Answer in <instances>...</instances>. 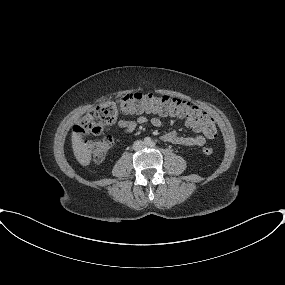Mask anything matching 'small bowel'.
I'll use <instances>...</instances> for the list:
<instances>
[{
	"instance_id": "obj_1",
	"label": "small bowel",
	"mask_w": 285,
	"mask_h": 285,
	"mask_svg": "<svg viewBox=\"0 0 285 285\" xmlns=\"http://www.w3.org/2000/svg\"><path fill=\"white\" fill-rule=\"evenodd\" d=\"M150 123L153 126L159 127L162 124V121L159 117H147L145 115H139L135 121L132 120H119L118 126L123 130L124 134L128 135L132 133L137 125ZM186 125L189 128H192L199 132L193 125L186 120ZM206 139H213V137L207 136L205 134H195L187 135L179 132H168L162 136V140L176 145H182L187 147H199L205 144Z\"/></svg>"
}]
</instances>
